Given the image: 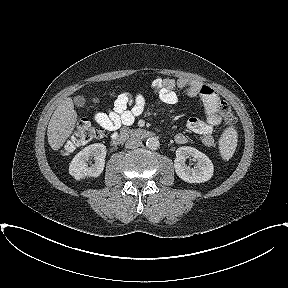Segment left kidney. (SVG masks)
I'll return each instance as SVG.
<instances>
[{
    "label": "left kidney",
    "mask_w": 288,
    "mask_h": 288,
    "mask_svg": "<svg viewBox=\"0 0 288 288\" xmlns=\"http://www.w3.org/2000/svg\"><path fill=\"white\" fill-rule=\"evenodd\" d=\"M188 157L197 160L194 168L186 165V158ZM174 168L176 174L188 183L206 182L211 179L214 172L211 160L204 153L189 146H182L176 150Z\"/></svg>",
    "instance_id": "left-kidney-1"
}]
</instances>
